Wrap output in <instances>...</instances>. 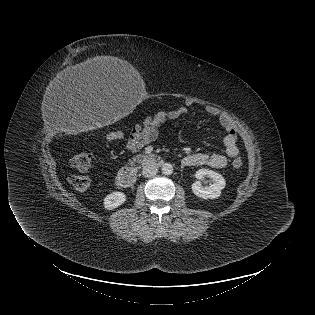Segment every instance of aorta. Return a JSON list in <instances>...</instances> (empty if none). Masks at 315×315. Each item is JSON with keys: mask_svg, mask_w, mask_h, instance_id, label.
<instances>
[{"mask_svg": "<svg viewBox=\"0 0 315 315\" xmlns=\"http://www.w3.org/2000/svg\"><path fill=\"white\" fill-rule=\"evenodd\" d=\"M161 170L164 175H170L173 173V166L170 163H164Z\"/></svg>", "mask_w": 315, "mask_h": 315, "instance_id": "762f6f07", "label": "aorta"}]
</instances>
